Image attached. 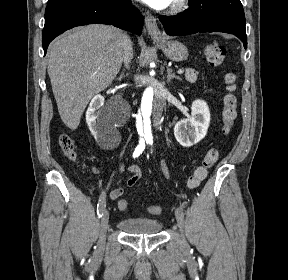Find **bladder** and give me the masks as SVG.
I'll return each mask as SVG.
<instances>
[{"instance_id":"31cf9c89","label":"bladder","mask_w":288,"mask_h":280,"mask_svg":"<svg viewBox=\"0 0 288 280\" xmlns=\"http://www.w3.org/2000/svg\"><path fill=\"white\" fill-rule=\"evenodd\" d=\"M117 226L128 234H156L162 230L163 224L156 218L130 217L121 219Z\"/></svg>"}]
</instances>
